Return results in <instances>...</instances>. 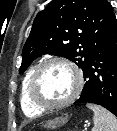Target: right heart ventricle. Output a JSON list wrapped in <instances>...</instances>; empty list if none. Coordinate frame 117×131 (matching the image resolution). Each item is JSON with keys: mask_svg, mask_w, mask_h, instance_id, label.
Segmentation results:
<instances>
[{"mask_svg": "<svg viewBox=\"0 0 117 131\" xmlns=\"http://www.w3.org/2000/svg\"><path fill=\"white\" fill-rule=\"evenodd\" d=\"M33 72V69H30L24 76L22 83H21V89H20V103L23 112L27 116H38L40 115L43 110L37 108L30 100L29 94H28V84L29 79L31 77V74Z\"/></svg>", "mask_w": 117, "mask_h": 131, "instance_id": "e07e8e85", "label": "right heart ventricle"}]
</instances>
